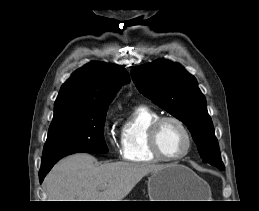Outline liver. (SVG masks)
<instances>
[{
  "instance_id": "obj_1",
  "label": "liver",
  "mask_w": 259,
  "mask_h": 211,
  "mask_svg": "<svg viewBox=\"0 0 259 211\" xmlns=\"http://www.w3.org/2000/svg\"><path fill=\"white\" fill-rule=\"evenodd\" d=\"M164 165L112 162L99 164L87 153L60 160L44 180L48 201H122L147 174Z\"/></svg>"
}]
</instances>
